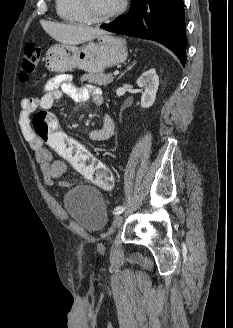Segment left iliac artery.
Returning <instances> with one entry per match:
<instances>
[{
    "label": "left iliac artery",
    "instance_id": "obj_1",
    "mask_svg": "<svg viewBox=\"0 0 233 328\" xmlns=\"http://www.w3.org/2000/svg\"><path fill=\"white\" fill-rule=\"evenodd\" d=\"M124 210H125V206H123V205H121V206H117V207L114 209L113 213H114L115 215H119V214H121Z\"/></svg>",
    "mask_w": 233,
    "mask_h": 328
}]
</instances>
